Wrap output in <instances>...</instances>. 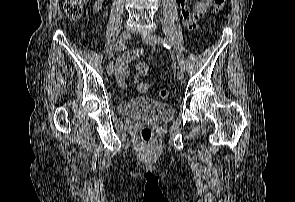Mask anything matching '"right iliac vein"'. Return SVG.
Here are the masks:
<instances>
[{
	"label": "right iliac vein",
	"instance_id": "63e3f726",
	"mask_svg": "<svg viewBox=\"0 0 295 202\" xmlns=\"http://www.w3.org/2000/svg\"><path fill=\"white\" fill-rule=\"evenodd\" d=\"M130 36H131L130 29H126L125 31L121 33V35L118 38L117 44L115 46V52L120 49V47L130 38ZM107 72L109 75H113L115 72V68L112 61H110L107 66Z\"/></svg>",
	"mask_w": 295,
	"mask_h": 202
}]
</instances>
